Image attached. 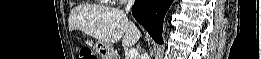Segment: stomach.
Returning a JSON list of instances; mask_svg holds the SVG:
<instances>
[{
	"instance_id": "stomach-1",
	"label": "stomach",
	"mask_w": 261,
	"mask_h": 59,
	"mask_svg": "<svg viewBox=\"0 0 261 59\" xmlns=\"http://www.w3.org/2000/svg\"><path fill=\"white\" fill-rule=\"evenodd\" d=\"M96 52L101 57V59H115L111 53V48L109 44L98 41L96 45Z\"/></svg>"
}]
</instances>
